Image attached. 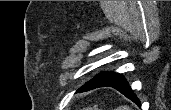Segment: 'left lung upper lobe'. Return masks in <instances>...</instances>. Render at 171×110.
<instances>
[{
  "label": "left lung upper lobe",
  "instance_id": "5c2ea615",
  "mask_svg": "<svg viewBox=\"0 0 171 110\" xmlns=\"http://www.w3.org/2000/svg\"><path fill=\"white\" fill-rule=\"evenodd\" d=\"M104 72H102V73H100V74H98L97 76H95L92 80H94V79H96L97 77H99L100 75H102ZM92 80H90V81H92Z\"/></svg>",
  "mask_w": 171,
  "mask_h": 110
}]
</instances>
